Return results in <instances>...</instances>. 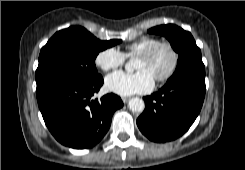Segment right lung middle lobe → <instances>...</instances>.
I'll use <instances>...</instances> for the list:
<instances>
[{"instance_id": "obj_1", "label": "right lung middle lobe", "mask_w": 245, "mask_h": 170, "mask_svg": "<svg viewBox=\"0 0 245 170\" xmlns=\"http://www.w3.org/2000/svg\"><path fill=\"white\" fill-rule=\"evenodd\" d=\"M120 42L100 41L80 26L57 32L41 49L36 70V94L61 84L89 82L100 78L95 66L96 56L100 51Z\"/></svg>"}]
</instances>
